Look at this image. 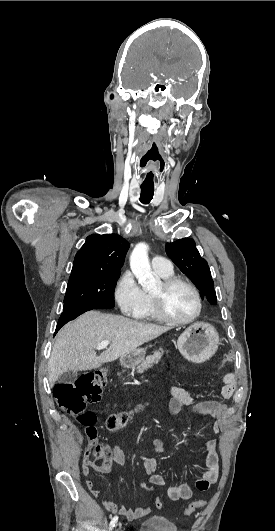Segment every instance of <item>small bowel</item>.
Listing matches in <instances>:
<instances>
[{"label": "small bowel", "instance_id": "1", "mask_svg": "<svg viewBox=\"0 0 275 531\" xmlns=\"http://www.w3.org/2000/svg\"><path fill=\"white\" fill-rule=\"evenodd\" d=\"M236 389V376L234 373H228L223 377V385L219 390V396L222 399H230ZM170 412L174 416H179L181 412L187 408L188 411L201 418H212L211 429L214 434L220 431L222 423V415L226 409V405L218 401H196L194 394L179 386L173 385L171 387V399L169 402ZM152 449L155 453L160 454L165 450L164 443L160 438H155L152 442ZM218 442L216 438H209L205 443L206 453V470L202 477L195 483L194 488L198 491H206L217 480L219 475V456H218ZM113 459L119 464H124L126 457L124 451L119 446H114L111 452ZM141 462L151 478L152 483L157 486H163L165 480L161 474L157 472V462L154 457L142 455ZM91 469L87 474H90ZM194 488L188 484L178 486H169L167 488V495L172 501L188 500L192 498ZM95 498H100L101 491L94 484L88 488ZM103 508L113 514L120 515L127 520H137L150 514L151 507L149 505H140L135 509H127L124 506H119L114 501L102 500Z\"/></svg>", "mask_w": 275, "mask_h": 531}]
</instances>
